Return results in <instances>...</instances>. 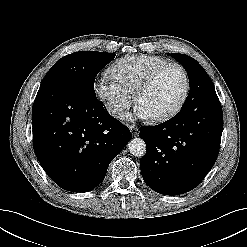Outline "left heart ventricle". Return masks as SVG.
<instances>
[{
    "label": "left heart ventricle",
    "instance_id": "left-heart-ventricle-1",
    "mask_svg": "<svg viewBox=\"0 0 247 247\" xmlns=\"http://www.w3.org/2000/svg\"><path fill=\"white\" fill-rule=\"evenodd\" d=\"M185 85L182 71L169 68L164 71L138 100L149 115L157 116L170 110L178 102Z\"/></svg>",
    "mask_w": 247,
    "mask_h": 247
}]
</instances>
